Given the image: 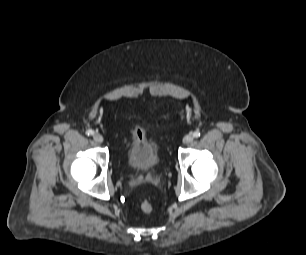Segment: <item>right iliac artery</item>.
Returning a JSON list of instances; mask_svg holds the SVG:
<instances>
[{"instance_id": "82829eb1", "label": "right iliac artery", "mask_w": 306, "mask_h": 255, "mask_svg": "<svg viewBox=\"0 0 306 255\" xmlns=\"http://www.w3.org/2000/svg\"><path fill=\"white\" fill-rule=\"evenodd\" d=\"M88 135H93L94 134V131L92 130V129H89V130H87V132H86Z\"/></svg>"}]
</instances>
